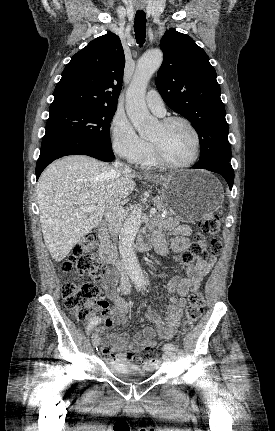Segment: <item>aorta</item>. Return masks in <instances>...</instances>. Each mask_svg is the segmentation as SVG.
I'll return each mask as SVG.
<instances>
[{"mask_svg": "<svg viewBox=\"0 0 275 431\" xmlns=\"http://www.w3.org/2000/svg\"><path fill=\"white\" fill-rule=\"evenodd\" d=\"M162 61L163 54L160 50L146 52L138 61L127 90L126 112L141 137L148 136L156 125V119L147 109L145 93L150 78L161 66ZM141 217L142 208L140 205H135L123 225L119 240V251L124 268L135 284H141L145 280L133 247L141 225Z\"/></svg>", "mask_w": 275, "mask_h": 431, "instance_id": "762f6f07", "label": "aorta"}]
</instances>
